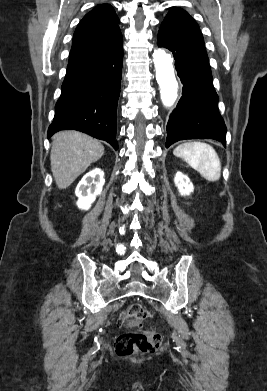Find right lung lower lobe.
<instances>
[{"label":"right lung lower lobe","mask_w":267,"mask_h":391,"mask_svg":"<svg viewBox=\"0 0 267 391\" xmlns=\"http://www.w3.org/2000/svg\"><path fill=\"white\" fill-rule=\"evenodd\" d=\"M122 62L123 44L68 64L48 138L57 131L74 129L118 149L116 118Z\"/></svg>","instance_id":"right-lung-lower-lobe-1"}]
</instances>
